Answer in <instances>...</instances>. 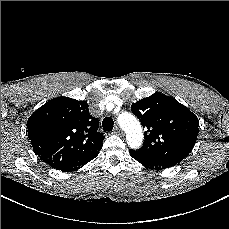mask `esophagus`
<instances>
[{"label": "esophagus", "instance_id": "1", "mask_svg": "<svg viewBox=\"0 0 229 229\" xmlns=\"http://www.w3.org/2000/svg\"><path fill=\"white\" fill-rule=\"evenodd\" d=\"M114 133H116L118 135H123V130L119 126H116L114 128Z\"/></svg>", "mask_w": 229, "mask_h": 229}]
</instances>
